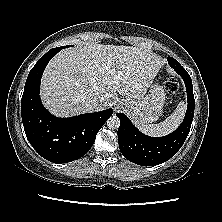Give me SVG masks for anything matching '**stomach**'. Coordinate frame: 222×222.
Returning a JSON list of instances; mask_svg holds the SVG:
<instances>
[{
    "label": "stomach",
    "instance_id": "1",
    "mask_svg": "<svg viewBox=\"0 0 222 222\" xmlns=\"http://www.w3.org/2000/svg\"><path fill=\"white\" fill-rule=\"evenodd\" d=\"M165 92L157 83L151 84L139 98L122 99L127 114L138 126L156 121L162 114Z\"/></svg>",
    "mask_w": 222,
    "mask_h": 222
}]
</instances>
